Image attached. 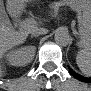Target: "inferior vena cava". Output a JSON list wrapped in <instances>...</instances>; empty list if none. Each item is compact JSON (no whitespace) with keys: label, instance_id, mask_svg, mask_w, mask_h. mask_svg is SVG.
<instances>
[{"label":"inferior vena cava","instance_id":"1","mask_svg":"<svg viewBox=\"0 0 91 91\" xmlns=\"http://www.w3.org/2000/svg\"><path fill=\"white\" fill-rule=\"evenodd\" d=\"M47 31H48L47 29L35 27L32 29L31 35L36 36V35H40V34H45V33H47Z\"/></svg>","mask_w":91,"mask_h":91}]
</instances>
